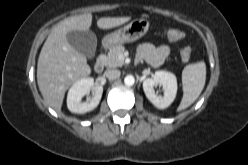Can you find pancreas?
I'll use <instances>...</instances> for the list:
<instances>
[{
	"instance_id": "cf45deb5",
	"label": "pancreas",
	"mask_w": 248,
	"mask_h": 165,
	"mask_svg": "<svg viewBox=\"0 0 248 165\" xmlns=\"http://www.w3.org/2000/svg\"><path fill=\"white\" fill-rule=\"evenodd\" d=\"M125 51L124 46L116 45L112 47L107 56L104 57V65L109 68L121 67L124 64V60L120 58Z\"/></svg>"
}]
</instances>
